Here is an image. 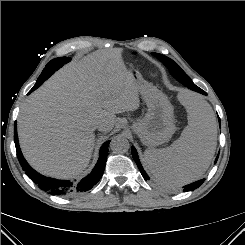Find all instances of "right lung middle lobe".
<instances>
[{
    "label": "right lung middle lobe",
    "instance_id": "dd1d6c3e",
    "mask_svg": "<svg viewBox=\"0 0 245 245\" xmlns=\"http://www.w3.org/2000/svg\"><path fill=\"white\" fill-rule=\"evenodd\" d=\"M71 60V58L67 57H60L56 58L54 60H51L45 67V70H53L55 72L58 70L60 67H62L64 64L68 63Z\"/></svg>",
    "mask_w": 245,
    "mask_h": 245
}]
</instances>
